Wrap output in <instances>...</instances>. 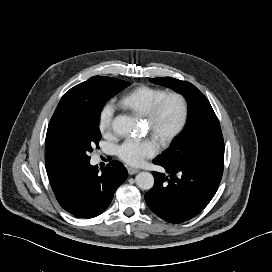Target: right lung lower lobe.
<instances>
[{"label": "right lung lower lobe", "instance_id": "right-lung-lower-lobe-1", "mask_svg": "<svg viewBox=\"0 0 272 272\" xmlns=\"http://www.w3.org/2000/svg\"><path fill=\"white\" fill-rule=\"evenodd\" d=\"M127 175L126 168L118 161L110 162L101 173L89 161L70 163L64 169L48 173L61 207L79 218H92L105 211Z\"/></svg>", "mask_w": 272, "mask_h": 272}]
</instances>
